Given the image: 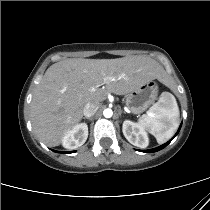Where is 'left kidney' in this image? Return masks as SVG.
<instances>
[{
	"label": "left kidney",
	"mask_w": 210,
	"mask_h": 210,
	"mask_svg": "<svg viewBox=\"0 0 210 210\" xmlns=\"http://www.w3.org/2000/svg\"><path fill=\"white\" fill-rule=\"evenodd\" d=\"M122 131L125 138L134 146L140 148H146L148 146V135L139 123L125 120L122 125Z\"/></svg>",
	"instance_id": "left-kidney-1"
}]
</instances>
